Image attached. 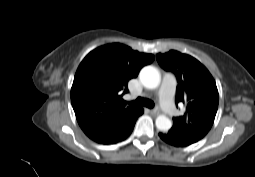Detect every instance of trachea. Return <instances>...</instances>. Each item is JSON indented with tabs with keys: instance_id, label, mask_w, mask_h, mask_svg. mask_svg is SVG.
<instances>
[{
	"instance_id": "trachea-1",
	"label": "trachea",
	"mask_w": 255,
	"mask_h": 177,
	"mask_svg": "<svg viewBox=\"0 0 255 177\" xmlns=\"http://www.w3.org/2000/svg\"><path fill=\"white\" fill-rule=\"evenodd\" d=\"M130 104L134 106H146L148 108L154 107V103L151 100L142 97H138L135 101L130 102Z\"/></svg>"
}]
</instances>
